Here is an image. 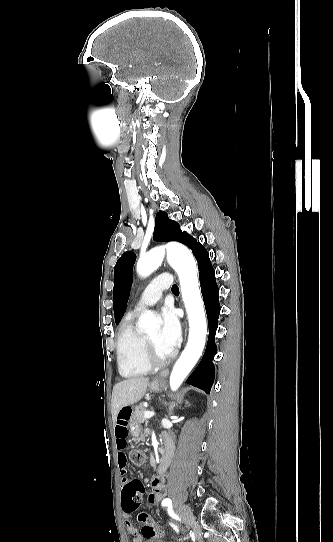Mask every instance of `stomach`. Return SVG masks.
<instances>
[{"mask_svg": "<svg viewBox=\"0 0 333 542\" xmlns=\"http://www.w3.org/2000/svg\"><path fill=\"white\" fill-rule=\"evenodd\" d=\"M149 390L151 392H161L163 388H165L166 384L165 382H160V380H152L150 384H148ZM129 428H130V434L133 440L138 441L141 439V426L139 424H136L133 420V418H129L128 420Z\"/></svg>", "mask_w": 333, "mask_h": 542, "instance_id": "0dacf381", "label": "stomach"}]
</instances>
